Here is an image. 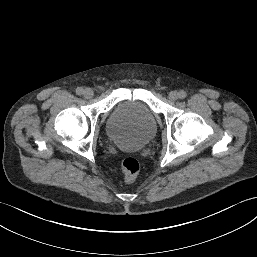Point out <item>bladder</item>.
Instances as JSON below:
<instances>
[{
    "label": "bladder",
    "instance_id": "bladder-1",
    "mask_svg": "<svg viewBox=\"0 0 257 257\" xmlns=\"http://www.w3.org/2000/svg\"><path fill=\"white\" fill-rule=\"evenodd\" d=\"M106 132L117 147L138 150L156 137L157 123L151 109L144 102L124 101L110 114Z\"/></svg>",
    "mask_w": 257,
    "mask_h": 257
}]
</instances>
